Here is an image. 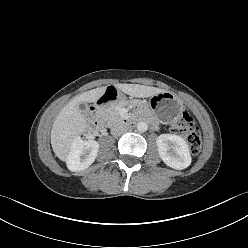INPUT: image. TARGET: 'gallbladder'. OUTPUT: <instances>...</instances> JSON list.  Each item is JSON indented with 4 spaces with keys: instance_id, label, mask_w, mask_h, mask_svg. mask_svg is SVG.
<instances>
[{
    "instance_id": "1",
    "label": "gallbladder",
    "mask_w": 248,
    "mask_h": 248,
    "mask_svg": "<svg viewBox=\"0 0 248 248\" xmlns=\"http://www.w3.org/2000/svg\"><path fill=\"white\" fill-rule=\"evenodd\" d=\"M79 108L81 109V111L85 112L86 111V105L85 104H80Z\"/></svg>"
}]
</instances>
